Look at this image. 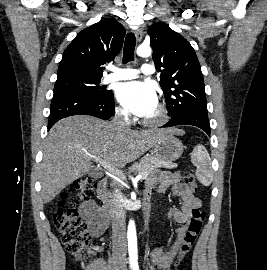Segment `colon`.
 Masks as SVG:
<instances>
[{
  "label": "colon",
  "mask_w": 267,
  "mask_h": 270,
  "mask_svg": "<svg viewBox=\"0 0 267 270\" xmlns=\"http://www.w3.org/2000/svg\"><path fill=\"white\" fill-rule=\"evenodd\" d=\"M184 183L197 191L195 176L189 172L184 177ZM96 182L87 177L76 180L69 191L63 195L59 208L54 213V225L60 236L61 242L68 253L83 263L91 254V235L87 225L79 215L77 205L89 200L95 191ZM205 211L198 208L193 211L188 222L187 231L180 246L176 266H179L189 254L203 225Z\"/></svg>",
  "instance_id": "5ec220e1"
}]
</instances>
